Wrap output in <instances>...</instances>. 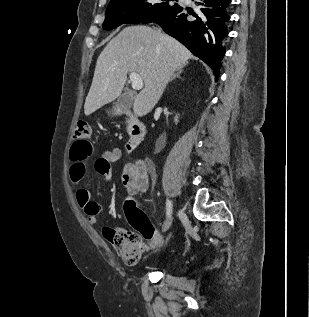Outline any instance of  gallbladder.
Returning a JSON list of instances; mask_svg holds the SVG:
<instances>
[{"mask_svg":"<svg viewBox=\"0 0 309 317\" xmlns=\"http://www.w3.org/2000/svg\"><path fill=\"white\" fill-rule=\"evenodd\" d=\"M133 98L131 95L127 92L120 95L118 100L116 101L114 105V110L112 111L113 115H117L116 108H121L123 111L129 109L132 105Z\"/></svg>","mask_w":309,"mask_h":317,"instance_id":"bac80fb5","label":"gallbladder"}]
</instances>
